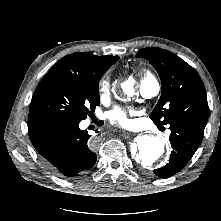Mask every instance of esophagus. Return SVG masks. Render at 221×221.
<instances>
[{
  "instance_id": "obj_1",
  "label": "esophagus",
  "mask_w": 221,
  "mask_h": 221,
  "mask_svg": "<svg viewBox=\"0 0 221 221\" xmlns=\"http://www.w3.org/2000/svg\"><path fill=\"white\" fill-rule=\"evenodd\" d=\"M123 134L126 137L129 134V132L123 131Z\"/></svg>"
}]
</instances>
